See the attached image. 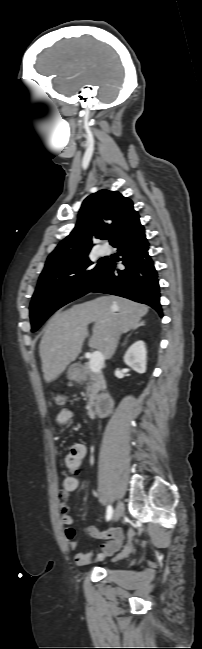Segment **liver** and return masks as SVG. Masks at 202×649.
I'll list each match as a JSON object with an SVG mask.
<instances>
[{"label": "liver", "instance_id": "obj_1", "mask_svg": "<svg viewBox=\"0 0 202 649\" xmlns=\"http://www.w3.org/2000/svg\"><path fill=\"white\" fill-rule=\"evenodd\" d=\"M148 307L131 300L102 296L55 314L42 336L39 353L44 380H55L81 352L88 325L95 323L89 347L109 359L122 333L134 328Z\"/></svg>", "mask_w": 202, "mask_h": 649}]
</instances>
